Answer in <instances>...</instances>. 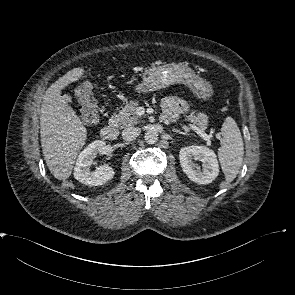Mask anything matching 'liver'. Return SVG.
<instances>
[{
	"mask_svg": "<svg viewBox=\"0 0 295 295\" xmlns=\"http://www.w3.org/2000/svg\"><path fill=\"white\" fill-rule=\"evenodd\" d=\"M83 68H73L45 92L40 113L41 146L46 164L53 176L67 180L78 153L87 139V130L76 112L64 100L62 89L78 81Z\"/></svg>",
	"mask_w": 295,
	"mask_h": 295,
	"instance_id": "1",
	"label": "liver"
}]
</instances>
